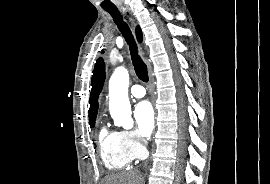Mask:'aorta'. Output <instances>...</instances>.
<instances>
[{
	"label": "aorta",
	"mask_w": 270,
	"mask_h": 184,
	"mask_svg": "<svg viewBox=\"0 0 270 184\" xmlns=\"http://www.w3.org/2000/svg\"><path fill=\"white\" fill-rule=\"evenodd\" d=\"M128 86V70L124 67H117L109 81V110L115 125L122 126L124 129L133 127Z\"/></svg>",
	"instance_id": "aorta-1"
}]
</instances>
